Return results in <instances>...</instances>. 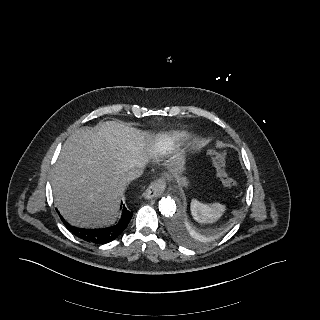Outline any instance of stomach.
Segmentation results:
<instances>
[{
	"instance_id": "obj_1",
	"label": "stomach",
	"mask_w": 320,
	"mask_h": 320,
	"mask_svg": "<svg viewBox=\"0 0 320 320\" xmlns=\"http://www.w3.org/2000/svg\"><path fill=\"white\" fill-rule=\"evenodd\" d=\"M175 178H176L177 182H178L180 185L186 186V185L188 184V182L186 181V179L183 178V177H180V176H178V175H175Z\"/></svg>"
}]
</instances>
